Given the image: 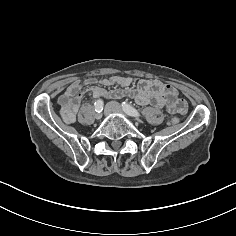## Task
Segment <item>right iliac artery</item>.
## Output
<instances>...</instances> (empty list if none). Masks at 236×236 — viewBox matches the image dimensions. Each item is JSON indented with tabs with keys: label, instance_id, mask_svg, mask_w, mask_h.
I'll return each instance as SVG.
<instances>
[{
	"label": "right iliac artery",
	"instance_id": "1",
	"mask_svg": "<svg viewBox=\"0 0 236 236\" xmlns=\"http://www.w3.org/2000/svg\"><path fill=\"white\" fill-rule=\"evenodd\" d=\"M103 106H104L103 101L100 99L94 103L95 111L98 113L102 112Z\"/></svg>",
	"mask_w": 236,
	"mask_h": 236
}]
</instances>
